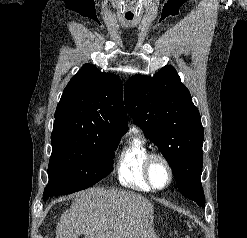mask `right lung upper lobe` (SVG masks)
Here are the masks:
<instances>
[{
    "mask_svg": "<svg viewBox=\"0 0 247 238\" xmlns=\"http://www.w3.org/2000/svg\"><path fill=\"white\" fill-rule=\"evenodd\" d=\"M54 117L51 137L85 134L120 140L127 125L121 80L84 64L65 87Z\"/></svg>",
    "mask_w": 247,
    "mask_h": 238,
    "instance_id": "1",
    "label": "right lung upper lobe"
}]
</instances>
